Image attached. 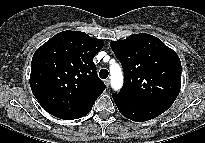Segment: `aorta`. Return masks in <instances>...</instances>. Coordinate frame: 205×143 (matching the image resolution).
<instances>
[{
	"label": "aorta",
	"instance_id": "obj_1",
	"mask_svg": "<svg viewBox=\"0 0 205 143\" xmlns=\"http://www.w3.org/2000/svg\"><path fill=\"white\" fill-rule=\"evenodd\" d=\"M109 69L111 74V87L115 91H119L123 86L122 69L118 63L111 64Z\"/></svg>",
	"mask_w": 205,
	"mask_h": 143
}]
</instances>
